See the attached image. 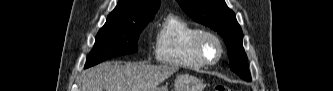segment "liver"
<instances>
[{"mask_svg": "<svg viewBox=\"0 0 333 91\" xmlns=\"http://www.w3.org/2000/svg\"><path fill=\"white\" fill-rule=\"evenodd\" d=\"M176 71L175 66L105 62L83 73L82 91H154Z\"/></svg>", "mask_w": 333, "mask_h": 91, "instance_id": "liver-1", "label": "liver"}]
</instances>
